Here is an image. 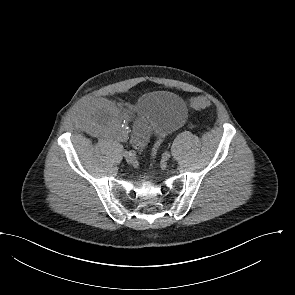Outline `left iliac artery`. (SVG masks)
Instances as JSON below:
<instances>
[{
	"label": "left iliac artery",
	"instance_id": "obj_1",
	"mask_svg": "<svg viewBox=\"0 0 295 295\" xmlns=\"http://www.w3.org/2000/svg\"><path fill=\"white\" fill-rule=\"evenodd\" d=\"M163 156L169 158V157H170V154H169V152H165V153L163 154Z\"/></svg>",
	"mask_w": 295,
	"mask_h": 295
}]
</instances>
